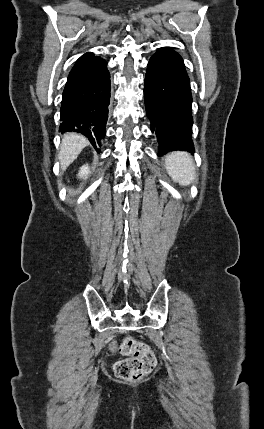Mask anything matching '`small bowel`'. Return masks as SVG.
I'll list each match as a JSON object with an SVG mask.
<instances>
[{
	"mask_svg": "<svg viewBox=\"0 0 264 429\" xmlns=\"http://www.w3.org/2000/svg\"><path fill=\"white\" fill-rule=\"evenodd\" d=\"M111 350H112V351H115V350H116V344H115L114 342L111 344Z\"/></svg>",
	"mask_w": 264,
	"mask_h": 429,
	"instance_id": "obj_1",
	"label": "small bowel"
}]
</instances>
